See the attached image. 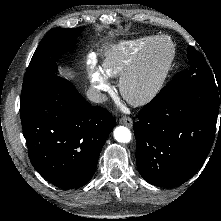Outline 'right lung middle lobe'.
<instances>
[{
	"label": "right lung middle lobe",
	"instance_id": "dd1d6c3e",
	"mask_svg": "<svg viewBox=\"0 0 221 221\" xmlns=\"http://www.w3.org/2000/svg\"><path fill=\"white\" fill-rule=\"evenodd\" d=\"M81 28L51 29L36 49L24 76L20 105L45 84L57 77V61L65 52L72 51Z\"/></svg>",
	"mask_w": 221,
	"mask_h": 221
}]
</instances>
